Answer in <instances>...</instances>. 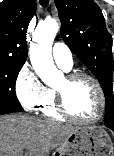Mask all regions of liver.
<instances>
[{"mask_svg": "<svg viewBox=\"0 0 114 156\" xmlns=\"http://www.w3.org/2000/svg\"><path fill=\"white\" fill-rule=\"evenodd\" d=\"M76 129L24 114L0 116V156H45Z\"/></svg>", "mask_w": 114, "mask_h": 156, "instance_id": "1", "label": "liver"}]
</instances>
